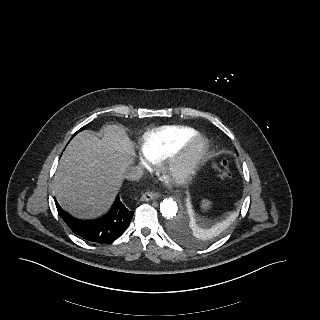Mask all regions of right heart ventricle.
<instances>
[{
  "instance_id": "obj_1",
  "label": "right heart ventricle",
  "mask_w": 320,
  "mask_h": 320,
  "mask_svg": "<svg viewBox=\"0 0 320 320\" xmlns=\"http://www.w3.org/2000/svg\"><path fill=\"white\" fill-rule=\"evenodd\" d=\"M193 128L164 126L149 132L141 141L140 149L150 161L157 163L175 154L191 136Z\"/></svg>"
}]
</instances>
